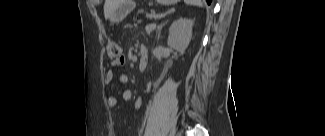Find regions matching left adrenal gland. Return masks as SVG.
Wrapping results in <instances>:
<instances>
[{
    "label": "left adrenal gland",
    "instance_id": "left-adrenal-gland-1",
    "mask_svg": "<svg viewBox=\"0 0 325 136\" xmlns=\"http://www.w3.org/2000/svg\"><path fill=\"white\" fill-rule=\"evenodd\" d=\"M163 26H164V23H163V24H160V25L157 27V36H158V38H159V36H160V31H161V29H162Z\"/></svg>",
    "mask_w": 325,
    "mask_h": 136
}]
</instances>
